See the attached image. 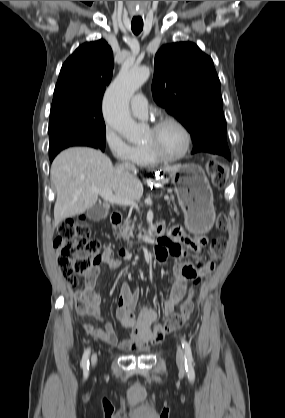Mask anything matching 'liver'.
Masks as SVG:
<instances>
[{"mask_svg":"<svg viewBox=\"0 0 285 418\" xmlns=\"http://www.w3.org/2000/svg\"><path fill=\"white\" fill-rule=\"evenodd\" d=\"M177 166L166 167L164 171L175 170ZM51 180L57 192L54 226L95 205L98 199L95 189L109 190L133 201L143 195L142 183L132 172L123 165L114 167L108 156L88 147H73L58 154L51 166Z\"/></svg>","mask_w":285,"mask_h":418,"instance_id":"6515ba94","label":"liver"}]
</instances>
